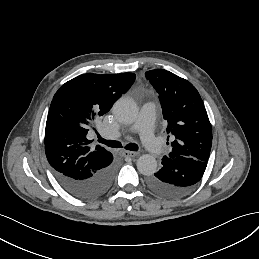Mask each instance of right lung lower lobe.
Listing matches in <instances>:
<instances>
[{"mask_svg":"<svg viewBox=\"0 0 259 259\" xmlns=\"http://www.w3.org/2000/svg\"><path fill=\"white\" fill-rule=\"evenodd\" d=\"M53 173L69 194L79 199L89 200L101 197L110 189L115 175V166L111 163L84 179L68 177L55 171Z\"/></svg>","mask_w":259,"mask_h":259,"instance_id":"1","label":"right lung lower lobe"}]
</instances>
